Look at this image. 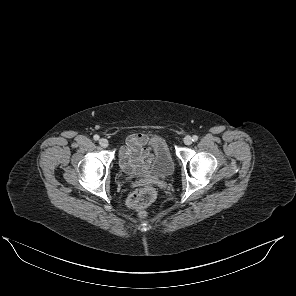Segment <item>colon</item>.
Here are the masks:
<instances>
[{"mask_svg":"<svg viewBox=\"0 0 296 296\" xmlns=\"http://www.w3.org/2000/svg\"><path fill=\"white\" fill-rule=\"evenodd\" d=\"M156 197V192L152 187H144L134 191L128 198L127 204L130 208L142 211L148 207Z\"/></svg>","mask_w":296,"mask_h":296,"instance_id":"5ec220e1","label":"colon"}]
</instances>
